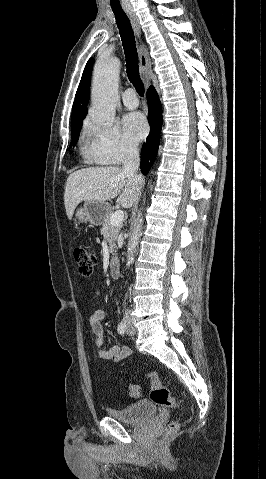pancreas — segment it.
Listing matches in <instances>:
<instances>
[{
	"label": "pancreas",
	"instance_id": "1",
	"mask_svg": "<svg viewBox=\"0 0 266 479\" xmlns=\"http://www.w3.org/2000/svg\"><path fill=\"white\" fill-rule=\"evenodd\" d=\"M113 215V212H110L104 222H103V225H102V228H101V234L104 235L107 239H108V243H109V251L112 255L115 254L116 252V240H117V237H118V234L122 228V224L118 225V226H113L111 225L110 223V220H111V216Z\"/></svg>",
	"mask_w": 266,
	"mask_h": 479
}]
</instances>
